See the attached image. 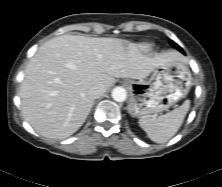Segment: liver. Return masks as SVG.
<instances>
[{"label":"liver","instance_id":"obj_1","mask_svg":"<svg viewBox=\"0 0 222 187\" xmlns=\"http://www.w3.org/2000/svg\"><path fill=\"white\" fill-rule=\"evenodd\" d=\"M182 60L177 51L142 54L129 41L61 35L39 47L30 59L20 87L24 119L40 135L65 139L85 122L94 103L89 89L115 78L142 80L170 61Z\"/></svg>","mask_w":222,"mask_h":187}]
</instances>
